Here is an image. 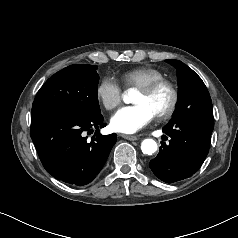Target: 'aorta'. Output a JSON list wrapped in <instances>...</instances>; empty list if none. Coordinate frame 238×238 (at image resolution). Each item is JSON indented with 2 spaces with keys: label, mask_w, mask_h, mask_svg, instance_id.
I'll return each mask as SVG.
<instances>
[{
  "label": "aorta",
  "mask_w": 238,
  "mask_h": 238,
  "mask_svg": "<svg viewBox=\"0 0 238 238\" xmlns=\"http://www.w3.org/2000/svg\"><path fill=\"white\" fill-rule=\"evenodd\" d=\"M123 100L125 103H129L130 99L128 94H124ZM157 143L153 139H144L141 143V150L146 155H152L157 151Z\"/></svg>",
  "instance_id": "1"
}]
</instances>
